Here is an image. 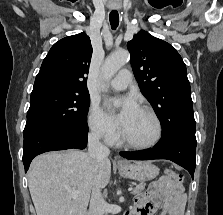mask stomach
I'll return each mask as SVG.
<instances>
[{"mask_svg":"<svg viewBox=\"0 0 223 215\" xmlns=\"http://www.w3.org/2000/svg\"><path fill=\"white\" fill-rule=\"evenodd\" d=\"M119 173L129 179H141L142 181H148V179H154L159 173V167H156L152 161H135V163H129L126 161L124 167L118 165Z\"/></svg>","mask_w":223,"mask_h":215,"instance_id":"stomach-1","label":"stomach"}]
</instances>
